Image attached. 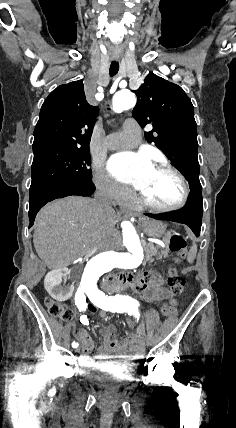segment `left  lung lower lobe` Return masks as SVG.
Masks as SVG:
<instances>
[{
	"mask_svg": "<svg viewBox=\"0 0 236 428\" xmlns=\"http://www.w3.org/2000/svg\"><path fill=\"white\" fill-rule=\"evenodd\" d=\"M203 214L202 189L191 191L186 205L175 212L145 215L158 219L169 220L188 225L196 236L200 235Z\"/></svg>",
	"mask_w": 236,
	"mask_h": 428,
	"instance_id": "0a47b994",
	"label": "left lung lower lobe"
}]
</instances>
